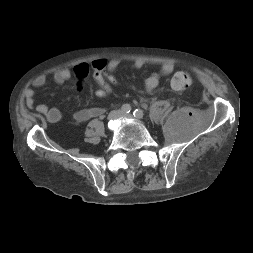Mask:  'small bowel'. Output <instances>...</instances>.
<instances>
[{"label": "small bowel", "instance_id": "obj_1", "mask_svg": "<svg viewBox=\"0 0 253 253\" xmlns=\"http://www.w3.org/2000/svg\"><path fill=\"white\" fill-rule=\"evenodd\" d=\"M144 66V61L135 60L131 67L134 69H141ZM122 67V62L120 59H111L107 61V68L110 72L115 73ZM174 70V65L170 62L163 63L160 69L156 72L151 73L145 80V88L147 91H154L160 83V79L163 76L171 74ZM90 67L88 63L81 62L74 66L73 71L70 69H63L57 71L53 80L57 84H63L68 81L72 76H75L79 82H82L89 74ZM47 80L44 76L36 78L33 82L34 87L41 88L44 87ZM26 105L29 109H36L37 113L42 115L47 122L53 124L57 123L61 117L62 113L57 107H49L46 104H40L36 106L35 91L33 89H27L25 92ZM104 114V109L100 107H85L76 111L73 115L74 120L77 123H84L93 118L100 117Z\"/></svg>", "mask_w": 253, "mask_h": 253}]
</instances>
